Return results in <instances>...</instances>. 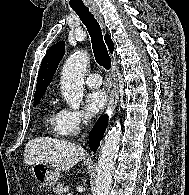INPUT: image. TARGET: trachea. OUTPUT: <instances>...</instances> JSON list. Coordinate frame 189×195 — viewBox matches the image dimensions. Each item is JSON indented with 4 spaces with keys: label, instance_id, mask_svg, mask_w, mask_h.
<instances>
[{
    "label": "trachea",
    "instance_id": "1",
    "mask_svg": "<svg viewBox=\"0 0 189 195\" xmlns=\"http://www.w3.org/2000/svg\"><path fill=\"white\" fill-rule=\"evenodd\" d=\"M86 26L92 41V49L96 62L106 70L111 67V58L108 54L106 45L99 23L87 7L72 8Z\"/></svg>",
    "mask_w": 189,
    "mask_h": 195
}]
</instances>
